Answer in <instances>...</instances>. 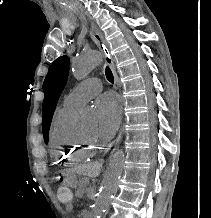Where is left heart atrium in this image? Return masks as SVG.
<instances>
[{"instance_id":"left-heart-atrium-1","label":"left heart atrium","mask_w":211,"mask_h":218,"mask_svg":"<svg viewBox=\"0 0 211 218\" xmlns=\"http://www.w3.org/2000/svg\"><path fill=\"white\" fill-rule=\"evenodd\" d=\"M95 107L98 113V134L103 139H110L115 135L120 125L119 101L115 94L107 92L97 98Z\"/></svg>"}]
</instances>
